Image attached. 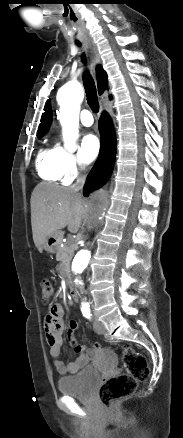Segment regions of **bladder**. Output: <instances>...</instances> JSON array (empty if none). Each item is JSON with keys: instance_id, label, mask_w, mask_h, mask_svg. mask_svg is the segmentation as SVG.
<instances>
[{"instance_id": "1", "label": "bladder", "mask_w": 183, "mask_h": 438, "mask_svg": "<svg viewBox=\"0 0 183 438\" xmlns=\"http://www.w3.org/2000/svg\"><path fill=\"white\" fill-rule=\"evenodd\" d=\"M99 381L98 371L93 367H88L74 376L59 379L57 388L63 395L88 399L92 396Z\"/></svg>"}]
</instances>
